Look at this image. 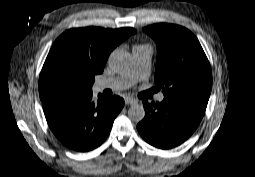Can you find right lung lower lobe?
<instances>
[{
  "mask_svg": "<svg viewBox=\"0 0 255 177\" xmlns=\"http://www.w3.org/2000/svg\"><path fill=\"white\" fill-rule=\"evenodd\" d=\"M98 97V101L94 102L91 90L42 101L50 129L66 146L81 152L90 151L102 144L109 135L124 100L118 96Z\"/></svg>",
  "mask_w": 255,
  "mask_h": 177,
  "instance_id": "98d812e1",
  "label": "right lung lower lobe"
}]
</instances>
